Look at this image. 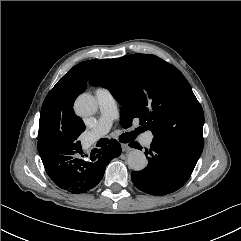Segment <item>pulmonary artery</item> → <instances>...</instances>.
I'll list each match as a JSON object with an SVG mask.
<instances>
[{
	"label": "pulmonary artery",
	"mask_w": 241,
	"mask_h": 241,
	"mask_svg": "<svg viewBox=\"0 0 241 241\" xmlns=\"http://www.w3.org/2000/svg\"><path fill=\"white\" fill-rule=\"evenodd\" d=\"M95 97L100 110V116L94 128L88 133L85 139L87 147L95 143L99 138L108 133L112 121L117 116V105L111 91L107 88L99 87L95 90ZM142 142L149 146L153 141V133L148 131L141 136Z\"/></svg>",
	"instance_id": "pulmonary-artery-1"
}]
</instances>
